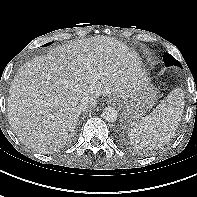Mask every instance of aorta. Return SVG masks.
Segmentation results:
<instances>
[{"label":"aorta","instance_id":"aorta-1","mask_svg":"<svg viewBox=\"0 0 197 197\" xmlns=\"http://www.w3.org/2000/svg\"><path fill=\"white\" fill-rule=\"evenodd\" d=\"M117 111L112 107H107L102 112V117L108 122H115L117 119Z\"/></svg>","mask_w":197,"mask_h":197}]
</instances>
